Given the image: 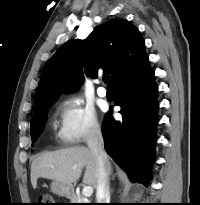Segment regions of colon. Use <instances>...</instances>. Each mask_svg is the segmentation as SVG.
<instances>
[{
  "mask_svg": "<svg viewBox=\"0 0 200 205\" xmlns=\"http://www.w3.org/2000/svg\"><path fill=\"white\" fill-rule=\"evenodd\" d=\"M38 205H53V197L50 194H42L39 197Z\"/></svg>",
  "mask_w": 200,
  "mask_h": 205,
  "instance_id": "1",
  "label": "colon"
}]
</instances>
